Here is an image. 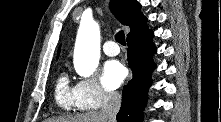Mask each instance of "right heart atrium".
<instances>
[{"mask_svg":"<svg viewBox=\"0 0 221 122\" xmlns=\"http://www.w3.org/2000/svg\"><path fill=\"white\" fill-rule=\"evenodd\" d=\"M74 94L77 107L82 110L100 108L118 97L116 92L103 87L96 76L80 80L75 85Z\"/></svg>","mask_w":221,"mask_h":122,"instance_id":"1","label":"right heart atrium"}]
</instances>
